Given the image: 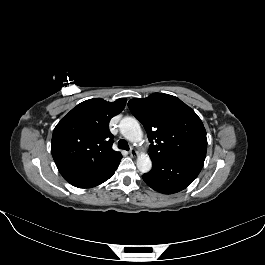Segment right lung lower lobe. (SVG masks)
<instances>
[{
    "label": "right lung lower lobe",
    "instance_id": "1",
    "mask_svg": "<svg viewBox=\"0 0 265 265\" xmlns=\"http://www.w3.org/2000/svg\"><path fill=\"white\" fill-rule=\"evenodd\" d=\"M122 158V157H121ZM121 158L105 165H84L59 170L66 181L78 188H90L102 184L113 176Z\"/></svg>",
    "mask_w": 265,
    "mask_h": 265
}]
</instances>
